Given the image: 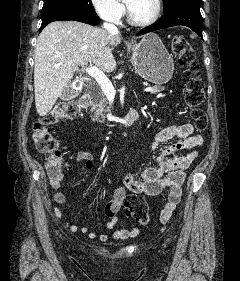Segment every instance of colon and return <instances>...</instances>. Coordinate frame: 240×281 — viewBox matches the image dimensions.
<instances>
[{
  "label": "colon",
  "instance_id": "colon-1",
  "mask_svg": "<svg viewBox=\"0 0 240 281\" xmlns=\"http://www.w3.org/2000/svg\"><path fill=\"white\" fill-rule=\"evenodd\" d=\"M172 51L179 63L185 68L188 76L184 87L185 104L190 111L195 128L197 131L203 132L208 126V118L200 107L204 100V83L194 50L185 37L177 35L173 38ZM76 112L77 104L75 101H61L51 112L34 124L33 141L36 149L44 155L46 169L51 175H57L62 165L59 144L52 134V128L59 123L73 119ZM123 205L134 220L141 224L148 222V207L142 197L126 196Z\"/></svg>",
  "mask_w": 240,
  "mask_h": 281
}]
</instances>
